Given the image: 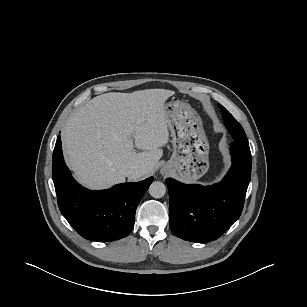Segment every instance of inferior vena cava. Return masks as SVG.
<instances>
[{
	"instance_id": "inferior-vena-cava-1",
	"label": "inferior vena cava",
	"mask_w": 307,
	"mask_h": 307,
	"mask_svg": "<svg viewBox=\"0 0 307 307\" xmlns=\"http://www.w3.org/2000/svg\"><path fill=\"white\" fill-rule=\"evenodd\" d=\"M140 173H141L140 169H133V168H129L124 171L125 176L129 178L139 175Z\"/></svg>"
}]
</instances>
